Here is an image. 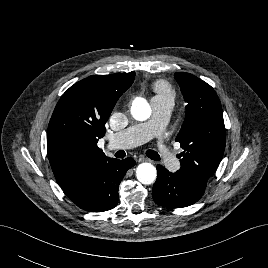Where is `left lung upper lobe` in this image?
<instances>
[{
  "instance_id": "obj_1",
  "label": "left lung upper lobe",
  "mask_w": 268,
  "mask_h": 268,
  "mask_svg": "<svg viewBox=\"0 0 268 268\" xmlns=\"http://www.w3.org/2000/svg\"><path fill=\"white\" fill-rule=\"evenodd\" d=\"M174 77L187 102L184 124L176 137L184 150L177 172L206 188L225 150L226 132L220 100L214 89L198 77L185 72L175 73Z\"/></svg>"
}]
</instances>
